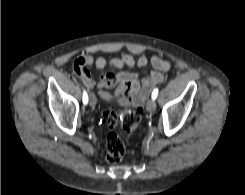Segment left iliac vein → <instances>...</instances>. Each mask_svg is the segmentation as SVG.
<instances>
[{"mask_svg": "<svg viewBox=\"0 0 245 195\" xmlns=\"http://www.w3.org/2000/svg\"><path fill=\"white\" fill-rule=\"evenodd\" d=\"M146 109H147L149 112L155 111V109H156V102H155V100L149 99V100L147 101V104H146Z\"/></svg>", "mask_w": 245, "mask_h": 195, "instance_id": "obj_1", "label": "left iliac vein"}]
</instances>
